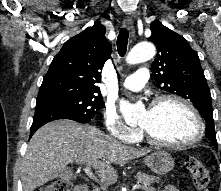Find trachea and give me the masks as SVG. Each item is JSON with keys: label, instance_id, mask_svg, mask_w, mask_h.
Here are the masks:
<instances>
[{"label": "trachea", "instance_id": "obj_1", "mask_svg": "<svg viewBox=\"0 0 221 191\" xmlns=\"http://www.w3.org/2000/svg\"><path fill=\"white\" fill-rule=\"evenodd\" d=\"M129 33L125 30H120L117 37V49L120 56H124L127 51Z\"/></svg>", "mask_w": 221, "mask_h": 191}]
</instances>
